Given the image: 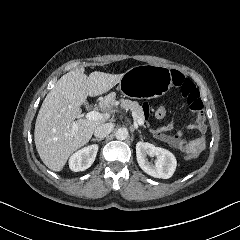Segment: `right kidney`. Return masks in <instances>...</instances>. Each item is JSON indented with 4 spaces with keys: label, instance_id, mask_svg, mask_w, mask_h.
<instances>
[{
    "label": "right kidney",
    "instance_id": "ca27d5eb",
    "mask_svg": "<svg viewBox=\"0 0 240 240\" xmlns=\"http://www.w3.org/2000/svg\"><path fill=\"white\" fill-rule=\"evenodd\" d=\"M98 149V144H91L75 151L68 159L69 169L72 172L88 169L95 161Z\"/></svg>",
    "mask_w": 240,
    "mask_h": 240
}]
</instances>
